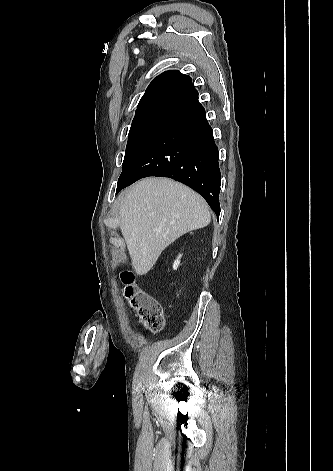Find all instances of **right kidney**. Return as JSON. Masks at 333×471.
<instances>
[{"label":"right kidney","instance_id":"right-kidney-1","mask_svg":"<svg viewBox=\"0 0 333 471\" xmlns=\"http://www.w3.org/2000/svg\"><path fill=\"white\" fill-rule=\"evenodd\" d=\"M180 257L181 255H179V257L175 260L174 264H173V269H177L179 264H180Z\"/></svg>","mask_w":333,"mask_h":471}]
</instances>
